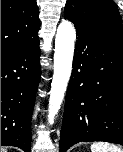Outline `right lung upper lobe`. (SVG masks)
I'll list each match as a JSON object with an SVG mask.
<instances>
[{
  "instance_id": "1",
  "label": "right lung upper lobe",
  "mask_w": 123,
  "mask_h": 152,
  "mask_svg": "<svg viewBox=\"0 0 123 152\" xmlns=\"http://www.w3.org/2000/svg\"><path fill=\"white\" fill-rule=\"evenodd\" d=\"M38 13L36 0H1V52L38 39Z\"/></svg>"
}]
</instances>
